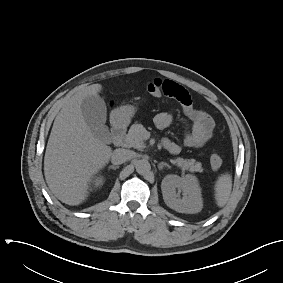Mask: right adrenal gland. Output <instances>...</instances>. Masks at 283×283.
Returning a JSON list of instances; mask_svg holds the SVG:
<instances>
[{
	"label": "right adrenal gland",
	"instance_id": "obj_1",
	"mask_svg": "<svg viewBox=\"0 0 283 283\" xmlns=\"http://www.w3.org/2000/svg\"><path fill=\"white\" fill-rule=\"evenodd\" d=\"M118 168H119V166H114V165H110V166L108 167L109 170H110V169L116 170V169H118Z\"/></svg>",
	"mask_w": 283,
	"mask_h": 283
}]
</instances>
